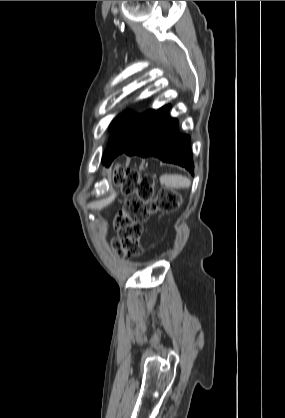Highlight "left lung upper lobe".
I'll return each mask as SVG.
<instances>
[{
	"label": "left lung upper lobe",
	"instance_id": "left-lung-upper-lobe-1",
	"mask_svg": "<svg viewBox=\"0 0 285 418\" xmlns=\"http://www.w3.org/2000/svg\"><path fill=\"white\" fill-rule=\"evenodd\" d=\"M153 113L154 110L146 111L140 115L125 112L112 121L109 126L112 137L102 158L105 164H110L117 155L128 147Z\"/></svg>",
	"mask_w": 285,
	"mask_h": 418
}]
</instances>
